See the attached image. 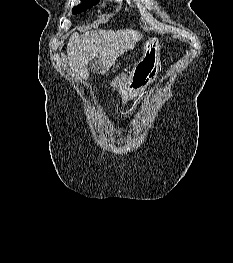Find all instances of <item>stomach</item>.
<instances>
[{
  "mask_svg": "<svg viewBox=\"0 0 233 263\" xmlns=\"http://www.w3.org/2000/svg\"><path fill=\"white\" fill-rule=\"evenodd\" d=\"M160 62V44L149 38L143 44V55L132 72V77H112L107 86L117 91H140L148 87L157 77Z\"/></svg>",
  "mask_w": 233,
  "mask_h": 263,
  "instance_id": "0dacf381",
  "label": "stomach"
}]
</instances>
